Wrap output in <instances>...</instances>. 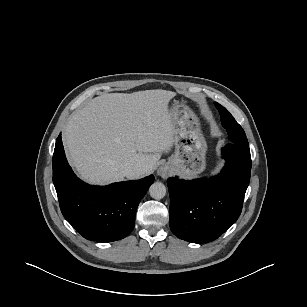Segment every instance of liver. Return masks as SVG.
<instances>
[{
    "mask_svg": "<svg viewBox=\"0 0 307 307\" xmlns=\"http://www.w3.org/2000/svg\"><path fill=\"white\" fill-rule=\"evenodd\" d=\"M175 93L145 90L95 97L77 110L63 131L69 161L91 184L123 181L124 170L154 171L174 144L175 130L168 103Z\"/></svg>",
    "mask_w": 307,
    "mask_h": 307,
    "instance_id": "1",
    "label": "liver"
}]
</instances>
